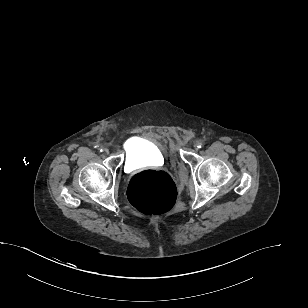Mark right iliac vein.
<instances>
[{"label": "right iliac vein", "instance_id": "1", "mask_svg": "<svg viewBox=\"0 0 308 308\" xmlns=\"http://www.w3.org/2000/svg\"><path fill=\"white\" fill-rule=\"evenodd\" d=\"M104 153L108 154L109 153V150L107 148H104Z\"/></svg>", "mask_w": 308, "mask_h": 308}]
</instances>
